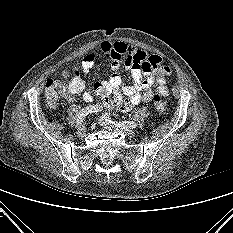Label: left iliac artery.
Here are the masks:
<instances>
[{
  "label": "left iliac artery",
  "mask_w": 233,
  "mask_h": 233,
  "mask_svg": "<svg viewBox=\"0 0 233 233\" xmlns=\"http://www.w3.org/2000/svg\"><path fill=\"white\" fill-rule=\"evenodd\" d=\"M102 118L109 123H114V124H117L118 126H122L124 128H132L133 129V128L137 127V124L133 121H123V122L113 121L108 113H104L102 115Z\"/></svg>",
  "instance_id": "obj_1"
}]
</instances>
